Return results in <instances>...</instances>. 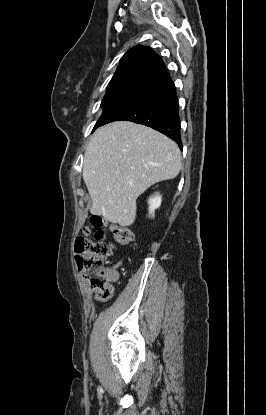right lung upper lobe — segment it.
<instances>
[{"instance_id": "obj_1", "label": "right lung upper lobe", "mask_w": 266, "mask_h": 415, "mask_svg": "<svg viewBox=\"0 0 266 415\" xmlns=\"http://www.w3.org/2000/svg\"><path fill=\"white\" fill-rule=\"evenodd\" d=\"M171 81L164 62L151 48L135 46L121 58L106 92L127 90L150 94Z\"/></svg>"}]
</instances>
